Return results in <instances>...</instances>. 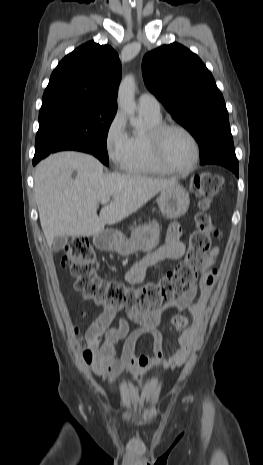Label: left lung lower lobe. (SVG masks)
<instances>
[{
  "mask_svg": "<svg viewBox=\"0 0 263 465\" xmlns=\"http://www.w3.org/2000/svg\"><path fill=\"white\" fill-rule=\"evenodd\" d=\"M202 164H219L230 169L237 177L239 176L238 160L234 154L220 155L204 159Z\"/></svg>",
  "mask_w": 263,
  "mask_h": 465,
  "instance_id": "0a47b994",
  "label": "left lung lower lobe"
}]
</instances>
